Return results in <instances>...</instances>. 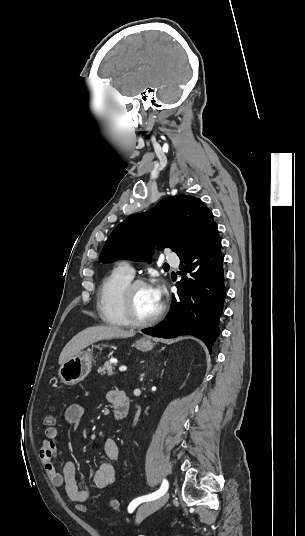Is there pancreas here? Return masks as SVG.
Segmentation results:
<instances>
[{
  "label": "pancreas",
  "instance_id": "obj_1",
  "mask_svg": "<svg viewBox=\"0 0 305 536\" xmlns=\"http://www.w3.org/2000/svg\"><path fill=\"white\" fill-rule=\"evenodd\" d=\"M115 366H117V364H110V362H105L103 368H98L97 372L98 374H101V376H113V374H115L114 370H115Z\"/></svg>",
  "mask_w": 305,
  "mask_h": 536
}]
</instances>
